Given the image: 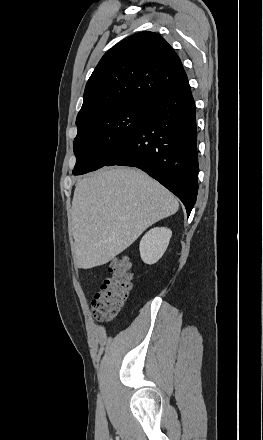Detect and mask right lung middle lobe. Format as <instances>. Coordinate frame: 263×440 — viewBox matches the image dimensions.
<instances>
[{"label":"right lung middle lobe","instance_id":"obj_1","mask_svg":"<svg viewBox=\"0 0 263 440\" xmlns=\"http://www.w3.org/2000/svg\"><path fill=\"white\" fill-rule=\"evenodd\" d=\"M148 103L132 102L97 113L77 125L73 143L76 156L74 175L105 166L112 152L140 126Z\"/></svg>","mask_w":263,"mask_h":440}]
</instances>
